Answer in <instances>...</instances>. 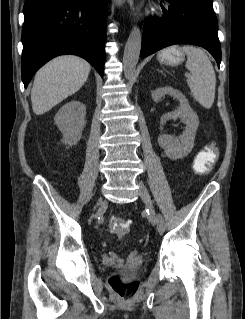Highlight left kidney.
Segmentation results:
<instances>
[{"mask_svg":"<svg viewBox=\"0 0 245 319\" xmlns=\"http://www.w3.org/2000/svg\"><path fill=\"white\" fill-rule=\"evenodd\" d=\"M164 95H170L178 99L180 105L175 111L162 115L160 120L161 129L162 125L170 119L181 118L186 124L185 131L181 136L174 137L168 134H161L158 138V142L165 150L166 155L172 160H177L187 156L191 152L199 126V119L190 107L185 95L179 90L165 86L157 88L151 93L154 102H159Z\"/></svg>","mask_w":245,"mask_h":319,"instance_id":"left-kidney-1","label":"left kidney"}]
</instances>
